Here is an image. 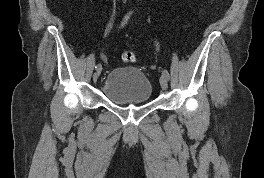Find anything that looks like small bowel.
Here are the masks:
<instances>
[{
    "label": "small bowel",
    "instance_id": "obj_1",
    "mask_svg": "<svg viewBox=\"0 0 264 178\" xmlns=\"http://www.w3.org/2000/svg\"><path fill=\"white\" fill-rule=\"evenodd\" d=\"M101 58H103V59H104V58H105V55H104V54H101Z\"/></svg>",
    "mask_w": 264,
    "mask_h": 178
}]
</instances>
